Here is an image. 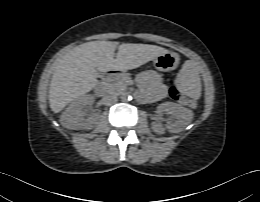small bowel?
Wrapping results in <instances>:
<instances>
[{"label":"small bowel","instance_id":"small-bowel-1","mask_svg":"<svg viewBox=\"0 0 260 202\" xmlns=\"http://www.w3.org/2000/svg\"><path fill=\"white\" fill-rule=\"evenodd\" d=\"M138 82L145 89L147 96L151 100L161 99L166 94V89L162 84L161 77L153 71L141 74L138 78Z\"/></svg>","mask_w":260,"mask_h":202}]
</instances>
